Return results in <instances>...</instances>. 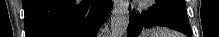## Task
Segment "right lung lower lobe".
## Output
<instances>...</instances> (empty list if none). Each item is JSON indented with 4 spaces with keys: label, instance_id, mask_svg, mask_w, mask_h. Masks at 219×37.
<instances>
[{
    "label": "right lung lower lobe",
    "instance_id": "right-lung-lower-lobe-1",
    "mask_svg": "<svg viewBox=\"0 0 219 37\" xmlns=\"http://www.w3.org/2000/svg\"><path fill=\"white\" fill-rule=\"evenodd\" d=\"M26 37H96L109 0H23Z\"/></svg>",
    "mask_w": 219,
    "mask_h": 37
}]
</instances>
